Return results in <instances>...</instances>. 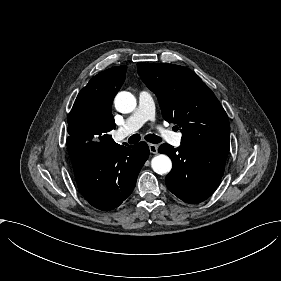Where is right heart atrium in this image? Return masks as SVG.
<instances>
[{"label": "right heart atrium", "mask_w": 281, "mask_h": 281, "mask_svg": "<svg viewBox=\"0 0 281 281\" xmlns=\"http://www.w3.org/2000/svg\"><path fill=\"white\" fill-rule=\"evenodd\" d=\"M116 107L119 106L123 109H127L130 103V96L124 92L118 93L116 96Z\"/></svg>", "instance_id": "obj_1"}]
</instances>
